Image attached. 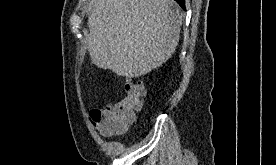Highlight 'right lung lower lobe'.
<instances>
[{
	"instance_id": "obj_1",
	"label": "right lung lower lobe",
	"mask_w": 276,
	"mask_h": 165,
	"mask_svg": "<svg viewBox=\"0 0 276 165\" xmlns=\"http://www.w3.org/2000/svg\"><path fill=\"white\" fill-rule=\"evenodd\" d=\"M183 9H185V1L184 0H175Z\"/></svg>"
}]
</instances>
